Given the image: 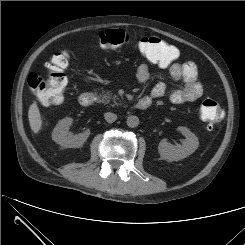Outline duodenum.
Listing matches in <instances>:
<instances>
[{
  "instance_id": "obj_1",
  "label": "duodenum",
  "mask_w": 245,
  "mask_h": 245,
  "mask_svg": "<svg viewBox=\"0 0 245 245\" xmlns=\"http://www.w3.org/2000/svg\"><path fill=\"white\" fill-rule=\"evenodd\" d=\"M97 101V96L92 92H84L79 97V103L83 107H89ZM151 104V99L149 97H143L139 99L136 103V107L139 110L147 109Z\"/></svg>"
}]
</instances>
